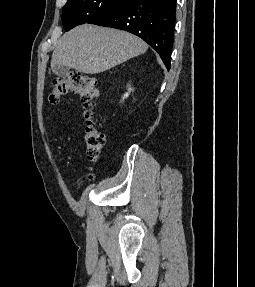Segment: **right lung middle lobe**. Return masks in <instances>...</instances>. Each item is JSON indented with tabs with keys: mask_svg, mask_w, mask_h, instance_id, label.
I'll return each mask as SVG.
<instances>
[{
	"mask_svg": "<svg viewBox=\"0 0 255 287\" xmlns=\"http://www.w3.org/2000/svg\"><path fill=\"white\" fill-rule=\"evenodd\" d=\"M126 0H68L63 7L62 22L66 31L77 25L90 23L106 11Z\"/></svg>",
	"mask_w": 255,
	"mask_h": 287,
	"instance_id": "right-lung-middle-lobe-1",
	"label": "right lung middle lobe"
}]
</instances>
